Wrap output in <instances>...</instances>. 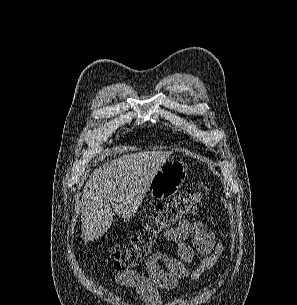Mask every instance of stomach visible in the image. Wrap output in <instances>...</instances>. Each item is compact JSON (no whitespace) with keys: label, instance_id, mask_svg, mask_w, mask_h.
Listing matches in <instances>:
<instances>
[{"label":"stomach","instance_id":"stomach-1","mask_svg":"<svg viewBox=\"0 0 297 305\" xmlns=\"http://www.w3.org/2000/svg\"><path fill=\"white\" fill-rule=\"evenodd\" d=\"M187 176V168L182 161H166L151 180L148 191L154 199L168 200L181 188Z\"/></svg>","mask_w":297,"mask_h":305}]
</instances>
